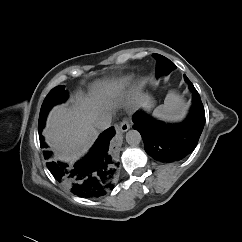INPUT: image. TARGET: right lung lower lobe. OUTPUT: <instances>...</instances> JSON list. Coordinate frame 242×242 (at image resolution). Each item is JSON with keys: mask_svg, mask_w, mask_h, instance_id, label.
<instances>
[{"mask_svg": "<svg viewBox=\"0 0 242 242\" xmlns=\"http://www.w3.org/2000/svg\"><path fill=\"white\" fill-rule=\"evenodd\" d=\"M39 132L40 146L47 148L41 131ZM114 133L112 127L105 130L87 156L74 165L54 160L52 152L45 150V157L50 158L47 167L53 177L79 197L96 198L104 195L112 188L116 171L117 163L108 153L109 141Z\"/></svg>", "mask_w": 242, "mask_h": 242, "instance_id": "obj_1", "label": "right lung lower lobe"}]
</instances>
